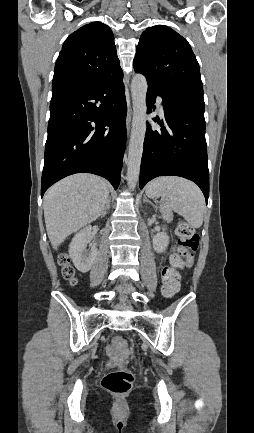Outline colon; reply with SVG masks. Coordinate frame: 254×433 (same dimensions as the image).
Instances as JSON below:
<instances>
[{
  "mask_svg": "<svg viewBox=\"0 0 254 433\" xmlns=\"http://www.w3.org/2000/svg\"><path fill=\"white\" fill-rule=\"evenodd\" d=\"M177 235L179 237V249L170 259V264L163 267L161 279L164 286V295L167 297L174 296L179 291V276L177 270L183 267L184 263L192 257L193 252L198 248L199 237L195 229L186 222H179L177 226ZM70 259L67 255L59 256V263L63 267L62 273L66 280L75 285L77 279L75 271L70 265ZM114 344L118 350L124 351L126 342L122 337H117ZM133 375L127 370H115L108 372L102 379L103 388L116 396L126 395L132 387Z\"/></svg>",
  "mask_w": 254,
  "mask_h": 433,
  "instance_id": "colon-1",
  "label": "colon"
}]
</instances>
